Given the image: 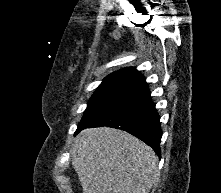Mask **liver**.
<instances>
[{
  "label": "liver",
  "instance_id": "obj_1",
  "mask_svg": "<svg viewBox=\"0 0 221 193\" xmlns=\"http://www.w3.org/2000/svg\"><path fill=\"white\" fill-rule=\"evenodd\" d=\"M71 155L83 193H148L158 179L155 152L122 130L84 129Z\"/></svg>",
  "mask_w": 221,
  "mask_h": 193
}]
</instances>
